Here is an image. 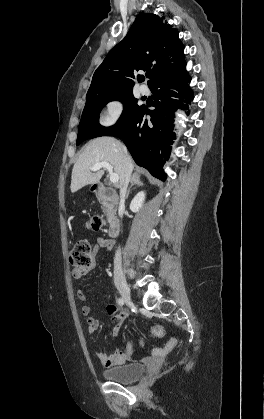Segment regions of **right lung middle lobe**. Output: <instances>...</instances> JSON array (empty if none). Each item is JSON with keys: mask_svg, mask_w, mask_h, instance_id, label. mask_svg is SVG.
<instances>
[{"mask_svg": "<svg viewBox=\"0 0 264 419\" xmlns=\"http://www.w3.org/2000/svg\"><path fill=\"white\" fill-rule=\"evenodd\" d=\"M113 100L121 101L124 104V110L115 125L103 127L99 124L100 111L105 104ZM139 107L137 99L133 96L132 90L86 97V104L79 124L76 145H79L87 139L104 136L121 124Z\"/></svg>", "mask_w": 264, "mask_h": 419, "instance_id": "right-lung-middle-lobe-1", "label": "right lung middle lobe"}]
</instances>
